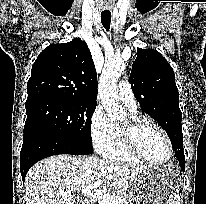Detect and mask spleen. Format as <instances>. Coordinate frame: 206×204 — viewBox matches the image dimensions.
I'll list each match as a JSON object with an SVG mask.
<instances>
[{
    "mask_svg": "<svg viewBox=\"0 0 206 204\" xmlns=\"http://www.w3.org/2000/svg\"><path fill=\"white\" fill-rule=\"evenodd\" d=\"M171 204H180V197L178 195H175L172 199H171Z\"/></svg>",
    "mask_w": 206,
    "mask_h": 204,
    "instance_id": "3e777b00",
    "label": "spleen"
}]
</instances>
